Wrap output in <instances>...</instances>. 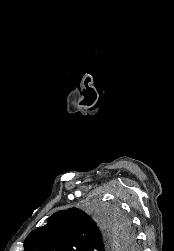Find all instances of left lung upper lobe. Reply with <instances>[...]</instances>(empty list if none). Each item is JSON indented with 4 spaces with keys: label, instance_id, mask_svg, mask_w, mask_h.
I'll return each instance as SVG.
<instances>
[{
    "label": "left lung upper lobe",
    "instance_id": "5c2ea615",
    "mask_svg": "<svg viewBox=\"0 0 174 251\" xmlns=\"http://www.w3.org/2000/svg\"><path fill=\"white\" fill-rule=\"evenodd\" d=\"M133 241L131 224L117 209L98 206L90 217L70 208L33 230L24 241V251H112L129 248Z\"/></svg>",
    "mask_w": 174,
    "mask_h": 251
}]
</instances>
